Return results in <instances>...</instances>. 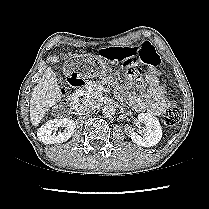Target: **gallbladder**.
<instances>
[{"label":"gallbladder","mask_w":209,"mask_h":209,"mask_svg":"<svg viewBox=\"0 0 209 209\" xmlns=\"http://www.w3.org/2000/svg\"><path fill=\"white\" fill-rule=\"evenodd\" d=\"M60 57L58 55H53L51 56L50 60L52 63H56V62H59L60 61Z\"/></svg>","instance_id":"1"}]
</instances>
